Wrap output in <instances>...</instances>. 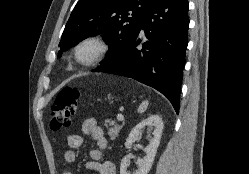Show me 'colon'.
I'll use <instances>...</instances> for the list:
<instances>
[{"label":"colon","instance_id":"1","mask_svg":"<svg viewBox=\"0 0 249 174\" xmlns=\"http://www.w3.org/2000/svg\"><path fill=\"white\" fill-rule=\"evenodd\" d=\"M79 96V90L74 87H64L60 90L51 109L50 126L53 130L70 126Z\"/></svg>","mask_w":249,"mask_h":174}]
</instances>
